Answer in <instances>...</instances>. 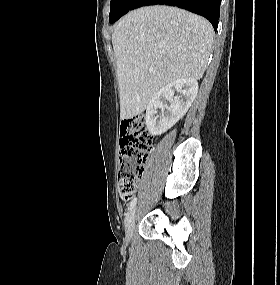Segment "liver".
<instances>
[{"mask_svg": "<svg viewBox=\"0 0 280 285\" xmlns=\"http://www.w3.org/2000/svg\"><path fill=\"white\" fill-rule=\"evenodd\" d=\"M213 37L209 21L174 7H143L120 19L112 44L121 119L142 113L167 84L180 78L201 79Z\"/></svg>", "mask_w": 280, "mask_h": 285, "instance_id": "1", "label": "liver"}]
</instances>
